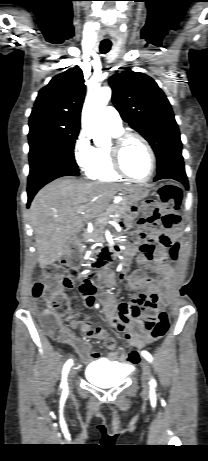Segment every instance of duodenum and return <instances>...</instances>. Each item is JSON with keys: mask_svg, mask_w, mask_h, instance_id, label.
<instances>
[{"mask_svg": "<svg viewBox=\"0 0 208 461\" xmlns=\"http://www.w3.org/2000/svg\"><path fill=\"white\" fill-rule=\"evenodd\" d=\"M88 238V231L86 229H81L77 232V240L81 243H84ZM107 256V251L103 250L100 254L99 259L103 260Z\"/></svg>", "mask_w": 208, "mask_h": 461, "instance_id": "410a0bca", "label": "duodenum"}]
</instances>
